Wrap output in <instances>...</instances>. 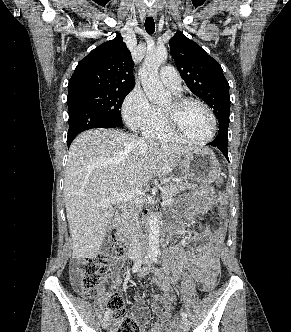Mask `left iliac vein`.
<instances>
[{
    "label": "left iliac vein",
    "mask_w": 291,
    "mask_h": 332,
    "mask_svg": "<svg viewBox=\"0 0 291 332\" xmlns=\"http://www.w3.org/2000/svg\"><path fill=\"white\" fill-rule=\"evenodd\" d=\"M145 264L149 265V261H145ZM179 325H180L181 332L189 331V322L186 318H181Z\"/></svg>",
    "instance_id": "obj_1"
}]
</instances>
